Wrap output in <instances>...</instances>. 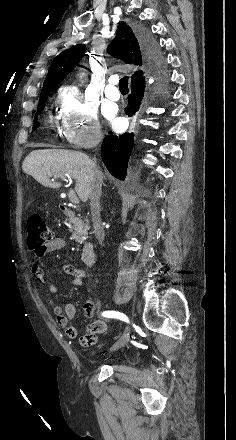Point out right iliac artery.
<instances>
[{
    "mask_svg": "<svg viewBox=\"0 0 236 440\" xmlns=\"http://www.w3.org/2000/svg\"><path fill=\"white\" fill-rule=\"evenodd\" d=\"M102 316L107 317V318H116V319H120L122 321L128 322V318L125 314L121 313V312H117V311H104L102 313Z\"/></svg>",
    "mask_w": 236,
    "mask_h": 440,
    "instance_id": "obj_1",
    "label": "right iliac artery"
}]
</instances>
